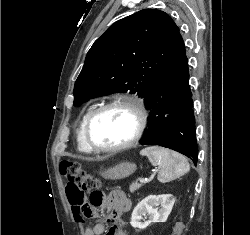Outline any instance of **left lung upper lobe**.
<instances>
[{
  "mask_svg": "<svg viewBox=\"0 0 250 235\" xmlns=\"http://www.w3.org/2000/svg\"><path fill=\"white\" fill-rule=\"evenodd\" d=\"M167 13L143 9L112 24L87 53L74 105L116 92L144 97L179 36Z\"/></svg>",
  "mask_w": 250,
  "mask_h": 235,
  "instance_id": "left-lung-upper-lobe-1",
  "label": "left lung upper lobe"
}]
</instances>
